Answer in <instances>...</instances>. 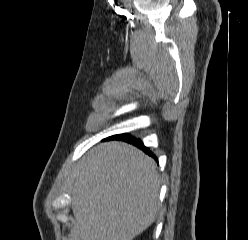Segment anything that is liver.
<instances>
[{
  "mask_svg": "<svg viewBox=\"0 0 248 240\" xmlns=\"http://www.w3.org/2000/svg\"><path fill=\"white\" fill-rule=\"evenodd\" d=\"M158 193L153 159L123 142L103 143L74 174L76 232L81 240H132L155 221Z\"/></svg>",
  "mask_w": 248,
  "mask_h": 240,
  "instance_id": "1",
  "label": "liver"
}]
</instances>
